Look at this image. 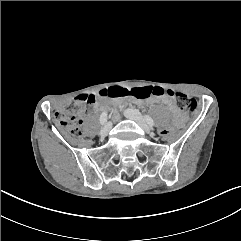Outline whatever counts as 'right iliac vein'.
<instances>
[{
	"mask_svg": "<svg viewBox=\"0 0 241 241\" xmlns=\"http://www.w3.org/2000/svg\"><path fill=\"white\" fill-rule=\"evenodd\" d=\"M111 128H112V123H110V122L106 123V124L103 126V128L101 129L100 135H101L102 137L107 136L108 133L110 132Z\"/></svg>",
	"mask_w": 241,
	"mask_h": 241,
	"instance_id": "right-iliac-vein-1",
	"label": "right iliac vein"
}]
</instances>
